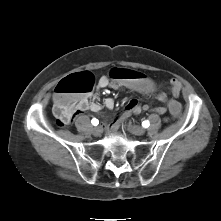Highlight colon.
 <instances>
[{
  "label": "colon",
  "mask_w": 221,
  "mask_h": 221,
  "mask_svg": "<svg viewBox=\"0 0 221 221\" xmlns=\"http://www.w3.org/2000/svg\"><path fill=\"white\" fill-rule=\"evenodd\" d=\"M111 82H119L137 93L155 96L160 84L145 71H135L126 67L111 66L107 70ZM95 78L90 72H81L61 80L54 93V115L60 126L71 123L75 116V103L78 98L90 92ZM172 120L179 122L185 116V108L177 99L168 102Z\"/></svg>",
  "instance_id": "colon-1"
}]
</instances>
